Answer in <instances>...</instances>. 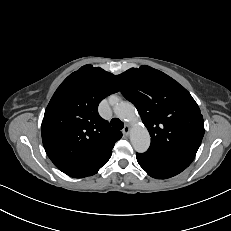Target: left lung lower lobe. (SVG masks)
<instances>
[{
	"label": "left lung lower lobe",
	"instance_id": "1",
	"mask_svg": "<svg viewBox=\"0 0 231 231\" xmlns=\"http://www.w3.org/2000/svg\"><path fill=\"white\" fill-rule=\"evenodd\" d=\"M136 158L139 165L153 178L167 179L181 173L190 164L159 159L148 154L136 153Z\"/></svg>",
	"mask_w": 231,
	"mask_h": 231
}]
</instances>
